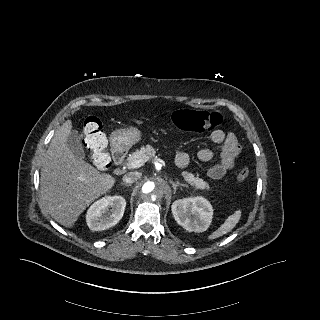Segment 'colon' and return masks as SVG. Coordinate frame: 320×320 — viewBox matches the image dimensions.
I'll return each instance as SVG.
<instances>
[{
	"label": "colon",
	"mask_w": 320,
	"mask_h": 320,
	"mask_svg": "<svg viewBox=\"0 0 320 320\" xmlns=\"http://www.w3.org/2000/svg\"><path fill=\"white\" fill-rule=\"evenodd\" d=\"M174 125L183 131L203 133L212 130L223 123V117L217 112L199 111L196 109H179L172 114ZM84 146L92 153L95 165L100 169L110 166V159L105 152L106 135L102 122L95 116H89L84 121ZM239 181L244 182L249 177V169L241 167L236 174Z\"/></svg>",
	"instance_id": "obj_1"
}]
</instances>
